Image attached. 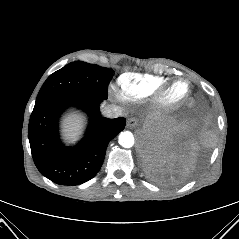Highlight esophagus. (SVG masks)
<instances>
[{
    "instance_id": "1",
    "label": "esophagus",
    "mask_w": 239,
    "mask_h": 239,
    "mask_svg": "<svg viewBox=\"0 0 239 239\" xmlns=\"http://www.w3.org/2000/svg\"><path fill=\"white\" fill-rule=\"evenodd\" d=\"M137 124H138V119L135 118V117H131V118H129L128 121H127V126H128L129 128H133V127H135Z\"/></svg>"
}]
</instances>
